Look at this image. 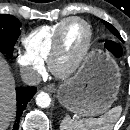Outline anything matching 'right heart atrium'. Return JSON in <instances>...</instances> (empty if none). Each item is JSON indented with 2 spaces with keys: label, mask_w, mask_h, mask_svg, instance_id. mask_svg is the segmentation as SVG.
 <instances>
[{
  "label": "right heart atrium",
  "mask_w": 130,
  "mask_h": 130,
  "mask_svg": "<svg viewBox=\"0 0 130 130\" xmlns=\"http://www.w3.org/2000/svg\"><path fill=\"white\" fill-rule=\"evenodd\" d=\"M16 64L20 68L23 76L32 83L37 82L45 71L44 62L24 51L17 52Z\"/></svg>",
  "instance_id": "1"
}]
</instances>
